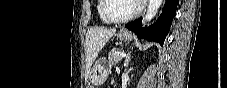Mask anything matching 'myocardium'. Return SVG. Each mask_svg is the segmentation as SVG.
Returning a JSON list of instances; mask_svg holds the SVG:
<instances>
[{
  "label": "myocardium",
  "mask_w": 227,
  "mask_h": 88,
  "mask_svg": "<svg viewBox=\"0 0 227 88\" xmlns=\"http://www.w3.org/2000/svg\"><path fill=\"white\" fill-rule=\"evenodd\" d=\"M108 1L109 0H102L101 13H102L103 17L106 19V21L108 23H112V24H124V23H127V22L135 19L142 12L143 6H144L142 3H138L136 10L132 14H130L129 16H127L125 18L114 19V18L109 17L106 12V9L108 6Z\"/></svg>",
  "instance_id": "f54148a6"
}]
</instances>
